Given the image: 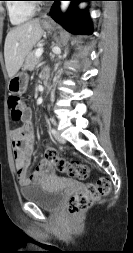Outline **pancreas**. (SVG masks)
<instances>
[{
    "instance_id": "1",
    "label": "pancreas",
    "mask_w": 133,
    "mask_h": 253,
    "mask_svg": "<svg viewBox=\"0 0 133 253\" xmlns=\"http://www.w3.org/2000/svg\"><path fill=\"white\" fill-rule=\"evenodd\" d=\"M35 50H32L28 53L26 57V62L24 68L27 70H33L34 67L39 63V58L35 56Z\"/></svg>"
}]
</instances>
